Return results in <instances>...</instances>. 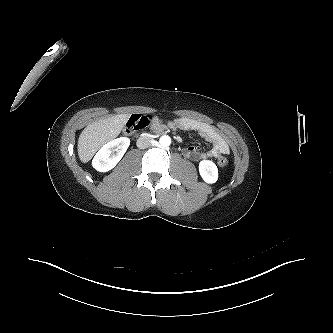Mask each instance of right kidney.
<instances>
[{
  "label": "right kidney",
  "mask_w": 333,
  "mask_h": 333,
  "mask_svg": "<svg viewBox=\"0 0 333 333\" xmlns=\"http://www.w3.org/2000/svg\"><path fill=\"white\" fill-rule=\"evenodd\" d=\"M129 145L130 139L127 137H120L108 142L94 156L93 168L99 172H108L121 160ZM115 151L116 154H114Z\"/></svg>",
  "instance_id": "ca27d5eb"
}]
</instances>
